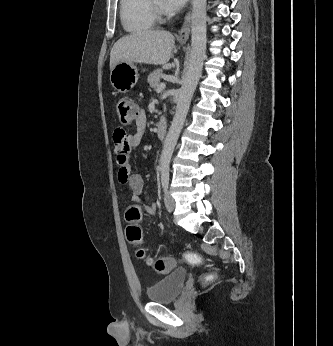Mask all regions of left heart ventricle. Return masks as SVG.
Segmentation results:
<instances>
[{"mask_svg": "<svg viewBox=\"0 0 333 346\" xmlns=\"http://www.w3.org/2000/svg\"><path fill=\"white\" fill-rule=\"evenodd\" d=\"M158 5H161V0H155Z\"/></svg>", "mask_w": 333, "mask_h": 346, "instance_id": "b2bd125f", "label": "left heart ventricle"}]
</instances>
